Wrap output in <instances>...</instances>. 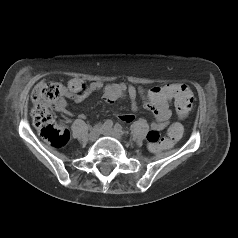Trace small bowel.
<instances>
[{"label":"small bowel","mask_w":238,"mask_h":238,"mask_svg":"<svg viewBox=\"0 0 238 238\" xmlns=\"http://www.w3.org/2000/svg\"><path fill=\"white\" fill-rule=\"evenodd\" d=\"M176 85L177 84H168L162 87H154L145 92L140 87L123 82L108 83L104 85L102 82L96 81L87 84L81 79L73 78L68 83V89L66 90L65 95L76 102H81L91 93L102 91L104 101L109 104L119 98L128 96L131 99L133 111L138 110L136 98L139 95L144 101L146 108L152 112L155 118V122H152L151 124L152 129L156 128L162 130L171 118L170 103L173 96L168 95L167 91ZM56 110L66 115H71L64 99L56 105ZM119 118L128 123L134 120V116L131 114H122Z\"/></svg>","instance_id":"obj_1"}]
</instances>
